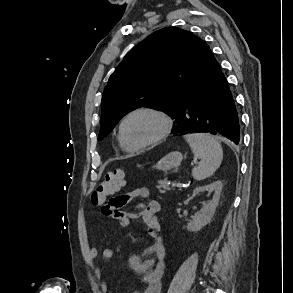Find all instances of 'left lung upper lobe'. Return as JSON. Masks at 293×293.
I'll use <instances>...</instances> for the list:
<instances>
[{
    "label": "left lung upper lobe",
    "mask_w": 293,
    "mask_h": 293,
    "mask_svg": "<svg viewBox=\"0 0 293 293\" xmlns=\"http://www.w3.org/2000/svg\"><path fill=\"white\" fill-rule=\"evenodd\" d=\"M214 56L199 37L177 27L154 32L134 47L110 76L101 101L98 140L127 113L161 108L177 123L183 102L205 81Z\"/></svg>",
    "instance_id": "1"
}]
</instances>
